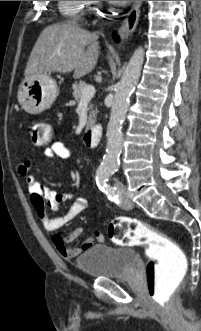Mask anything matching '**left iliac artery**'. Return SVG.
<instances>
[{
	"mask_svg": "<svg viewBox=\"0 0 201 331\" xmlns=\"http://www.w3.org/2000/svg\"><path fill=\"white\" fill-rule=\"evenodd\" d=\"M117 171L116 169H107L103 170L97 174L96 182L99 189L107 194L109 200L114 201L118 204L119 200L115 195L113 189L109 187L106 182L109 180V177ZM116 189V188H115Z\"/></svg>",
	"mask_w": 201,
	"mask_h": 331,
	"instance_id": "1",
	"label": "left iliac artery"
}]
</instances>
